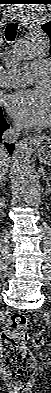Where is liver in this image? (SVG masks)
Here are the masks:
<instances>
[{
	"label": "liver",
	"instance_id": "liver-1",
	"mask_svg": "<svg viewBox=\"0 0 51 393\" xmlns=\"http://www.w3.org/2000/svg\"><path fill=\"white\" fill-rule=\"evenodd\" d=\"M9 161H10V159L8 157V154H7L6 150L4 149L3 146H1V149H0V164L3 163V162L8 163Z\"/></svg>",
	"mask_w": 51,
	"mask_h": 393
}]
</instances>
